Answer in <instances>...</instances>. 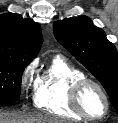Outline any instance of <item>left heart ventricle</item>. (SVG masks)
Wrapping results in <instances>:
<instances>
[{"label": "left heart ventricle", "mask_w": 118, "mask_h": 123, "mask_svg": "<svg viewBox=\"0 0 118 123\" xmlns=\"http://www.w3.org/2000/svg\"><path fill=\"white\" fill-rule=\"evenodd\" d=\"M82 105L91 115L99 116L105 111V102L100 92L93 86H88L82 95Z\"/></svg>", "instance_id": "b2bd125f"}]
</instances>
